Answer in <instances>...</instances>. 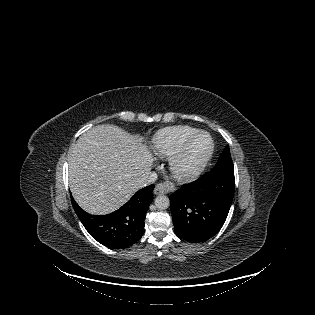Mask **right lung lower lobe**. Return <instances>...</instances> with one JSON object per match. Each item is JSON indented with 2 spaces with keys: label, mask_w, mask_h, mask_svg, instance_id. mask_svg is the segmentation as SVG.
<instances>
[{
  "label": "right lung lower lobe",
  "mask_w": 315,
  "mask_h": 315,
  "mask_svg": "<svg viewBox=\"0 0 315 315\" xmlns=\"http://www.w3.org/2000/svg\"><path fill=\"white\" fill-rule=\"evenodd\" d=\"M153 189L152 184L137 191L125 205L108 215H90L73 198L72 205L80 221L96 241L112 249L126 248L144 234V220L153 200Z\"/></svg>",
  "instance_id": "1"
}]
</instances>
